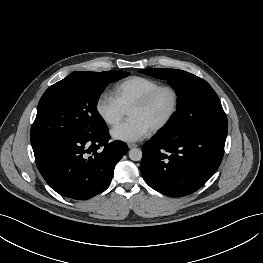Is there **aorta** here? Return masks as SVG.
I'll return each instance as SVG.
<instances>
[{
	"instance_id": "aorta-1",
	"label": "aorta",
	"mask_w": 263,
	"mask_h": 263,
	"mask_svg": "<svg viewBox=\"0 0 263 263\" xmlns=\"http://www.w3.org/2000/svg\"><path fill=\"white\" fill-rule=\"evenodd\" d=\"M129 158L132 161H139L142 158V151L138 148H133L129 151Z\"/></svg>"
}]
</instances>
